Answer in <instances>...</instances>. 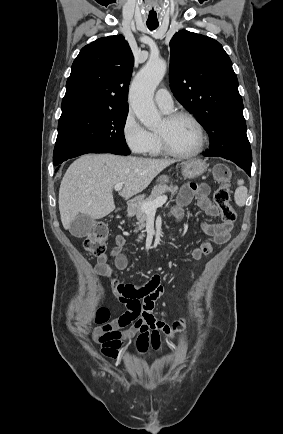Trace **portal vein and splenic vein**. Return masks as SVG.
I'll list each match as a JSON object with an SVG mask.
<instances>
[{"instance_id": "1", "label": "portal vein and splenic vein", "mask_w": 283, "mask_h": 434, "mask_svg": "<svg viewBox=\"0 0 283 434\" xmlns=\"http://www.w3.org/2000/svg\"><path fill=\"white\" fill-rule=\"evenodd\" d=\"M123 188V184H116L114 186V189L117 191H120ZM167 201V196L163 195L159 198H157L156 200L152 201V202H146L142 205V210L145 213H155L156 209L160 206H162L163 204H165Z\"/></svg>"}]
</instances>
